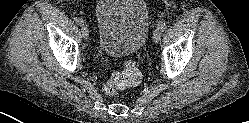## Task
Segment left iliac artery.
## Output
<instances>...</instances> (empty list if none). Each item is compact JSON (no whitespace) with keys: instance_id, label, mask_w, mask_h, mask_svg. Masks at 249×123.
Wrapping results in <instances>:
<instances>
[{"instance_id":"obj_1","label":"left iliac artery","mask_w":249,"mask_h":123,"mask_svg":"<svg viewBox=\"0 0 249 123\" xmlns=\"http://www.w3.org/2000/svg\"><path fill=\"white\" fill-rule=\"evenodd\" d=\"M158 27L161 28L162 30L166 27V23L164 20L159 21Z\"/></svg>"}]
</instances>
